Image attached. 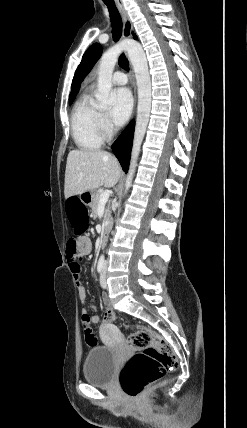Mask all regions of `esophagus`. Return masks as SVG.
Segmentation results:
<instances>
[{
    "instance_id": "esophagus-1",
    "label": "esophagus",
    "mask_w": 247,
    "mask_h": 428,
    "mask_svg": "<svg viewBox=\"0 0 247 428\" xmlns=\"http://www.w3.org/2000/svg\"><path fill=\"white\" fill-rule=\"evenodd\" d=\"M119 10L122 14L123 17V36L125 38H130L132 36V31H133V25L132 22L126 12V10L122 7V5H119ZM131 82H132V87H133V93H134V98H135V104H136V83H135V77H134V72L133 69L131 67ZM135 115V111L133 112V117Z\"/></svg>"
}]
</instances>
